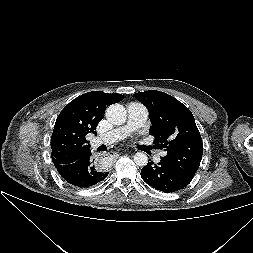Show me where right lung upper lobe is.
<instances>
[{
  "label": "right lung upper lobe",
  "instance_id": "obj_1",
  "mask_svg": "<svg viewBox=\"0 0 253 253\" xmlns=\"http://www.w3.org/2000/svg\"><path fill=\"white\" fill-rule=\"evenodd\" d=\"M124 98L102 91L85 93L72 100L59 114L51 137L54 165L68 164L91 153L85 136L96 133L106 108Z\"/></svg>",
  "mask_w": 253,
  "mask_h": 253
}]
</instances>
